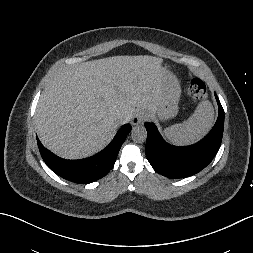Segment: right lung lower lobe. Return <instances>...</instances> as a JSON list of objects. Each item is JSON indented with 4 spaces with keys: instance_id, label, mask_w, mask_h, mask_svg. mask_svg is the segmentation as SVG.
Wrapping results in <instances>:
<instances>
[{
    "instance_id": "98d812e1",
    "label": "right lung lower lobe",
    "mask_w": 253,
    "mask_h": 253,
    "mask_svg": "<svg viewBox=\"0 0 253 253\" xmlns=\"http://www.w3.org/2000/svg\"><path fill=\"white\" fill-rule=\"evenodd\" d=\"M131 131L129 124L119 129L111 143L99 153L82 160H65L47 150L37 138L40 154L48 165L60 177L87 184L105 176L113 167L121 145Z\"/></svg>"
}]
</instances>
